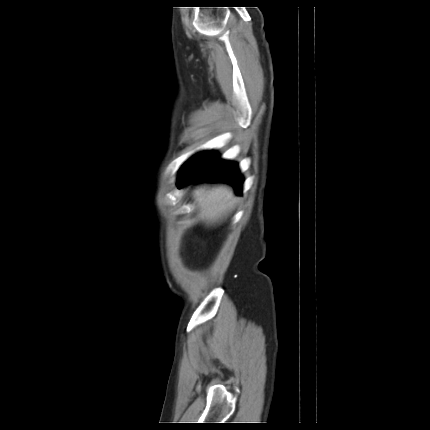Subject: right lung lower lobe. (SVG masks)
Here are the masks:
<instances>
[{"instance_id": "1", "label": "right lung lower lobe", "mask_w": 430, "mask_h": 430, "mask_svg": "<svg viewBox=\"0 0 430 430\" xmlns=\"http://www.w3.org/2000/svg\"><path fill=\"white\" fill-rule=\"evenodd\" d=\"M177 182L180 188L191 182H226L232 185L237 194H241L242 177L239 175L237 164L218 158L215 152H207L190 166L184 167Z\"/></svg>"}]
</instances>
